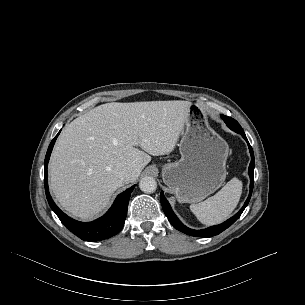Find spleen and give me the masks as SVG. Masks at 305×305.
I'll return each mask as SVG.
<instances>
[{"label":"spleen","instance_id":"spleen-1","mask_svg":"<svg viewBox=\"0 0 305 305\" xmlns=\"http://www.w3.org/2000/svg\"><path fill=\"white\" fill-rule=\"evenodd\" d=\"M242 194V181L231 179L214 196L198 204H191L190 209L197 219L211 226L225 221L236 208Z\"/></svg>","mask_w":305,"mask_h":305}]
</instances>
